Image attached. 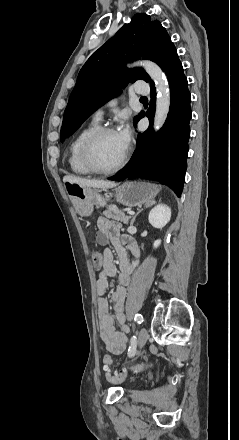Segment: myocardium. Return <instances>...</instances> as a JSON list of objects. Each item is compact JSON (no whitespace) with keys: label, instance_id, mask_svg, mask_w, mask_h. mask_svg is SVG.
Wrapping results in <instances>:
<instances>
[{"label":"myocardium","instance_id":"obj_1","mask_svg":"<svg viewBox=\"0 0 239 440\" xmlns=\"http://www.w3.org/2000/svg\"><path fill=\"white\" fill-rule=\"evenodd\" d=\"M116 132V130L111 126H101L98 127L95 131H93L84 141L81 148V159L84 166L94 174L99 175H110L117 173L120 171L126 164L130 156V148L127 147L125 153L122 158L118 162V164L110 169H104L99 167L93 160L92 151L96 144V142L105 134Z\"/></svg>","mask_w":239,"mask_h":440}]
</instances>
